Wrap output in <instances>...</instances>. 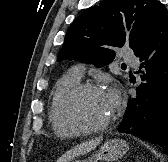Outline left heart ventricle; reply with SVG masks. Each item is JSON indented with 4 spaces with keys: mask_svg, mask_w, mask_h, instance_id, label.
Returning <instances> with one entry per match:
<instances>
[{
    "mask_svg": "<svg viewBox=\"0 0 168 162\" xmlns=\"http://www.w3.org/2000/svg\"><path fill=\"white\" fill-rule=\"evenodd\" d=\"M74 110L87 124L97 125L107 121L113 114V108L104 92L87 91L77 97Z\"/></svg>",
    "mask_w": 168,
    "mask_h": 162,
    "instance_id": "left-heart-ventricle-1",
    "label": "left heart ventricle"
}]
</instances>
